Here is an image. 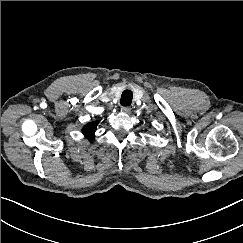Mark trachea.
Segmentation results:
<instances>
[{"label":"trachea","mask_w":243,"mask_h":243,"mask_svg":"<svg viewBox=\"0 0 243 243\" xmlns=\"http://www.w3.org/2000/svg\"><path fill=\"white\" fill-rule=\"evenodd\" d=\"M132 98H133V93L131 90H124L122 95H121V99H120V103L123 106H130L132 103Z\"/></svg>","instance_id":"1"}]
</instances>
